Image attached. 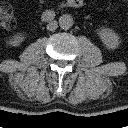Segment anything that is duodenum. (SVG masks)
Returning a JSON list of instances; mask_svg holds the SVG:
<instances>
[{
	"label": "duodenum",
	"mask_w": 128,
	"mask_h": 128,
	"mask_svg": "<svg viewBox=\"0 0 128 128\" xmlns=\"http://www.w3.org/2000/svg\"><path fill=\"white\" fill-rule=\"evenodd\" d=\"M84 6L83 0H63L60 3V8H75L79 9ZM56 17V10L48 9L42 13V19L46 22L53 21Z\"/></svg>",
	"instance_id": "obj_1"
}]
</instances>
